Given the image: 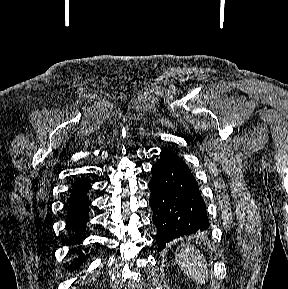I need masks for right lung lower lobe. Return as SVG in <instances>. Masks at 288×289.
I'll return each mask as SVG.
<instances>
[{
  "mask_svg": "<svg viewBox=\"0 0 288 289\" xmlns=\"http://www.w3.org/2000/svg\"><path fill=\"white\" fill-rule=\"evenodd\" d=\"M91 189V185L82 179H77L70 190V196L68 198L67 205V222L68 228L71 229L73 235L69 237V244H78L83 239L82 234L86 229V222L89 220L88 208L90 206V200L87 193ZM84 261L82 252L80 257L73 262L70 269L76 270Z\"/></svg>",
  "mask_w": 288,
  "mask_h": 289,
  "instance_id": "obj_1",
  "label": "right lung lower lobe"
}]
</instances>
